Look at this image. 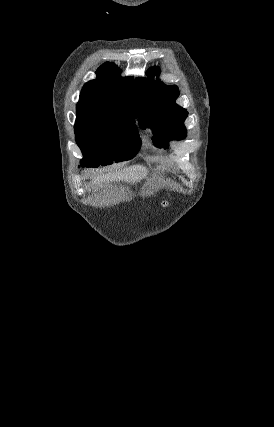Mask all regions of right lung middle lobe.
Masks as SVG:
<instances>
[{
    "mask_svg": "<svg viewBox=\"0 0 274 427\" xmlns=\"http://www.w3.org/2000/svg\"><path fill=\"white\" fill-rule=\"evenodd\" d=\"M137 116L128 111L77 113L74 131L84 156L81 165L97 167L132 159L141 146Z\"/></svg>",
    "mask_w": 274,
    "mask_h": 427,
    "instance_id": "right-lung-middle-lobe-1",
    "label": "right lung middle lobe"
}]
</instances>
